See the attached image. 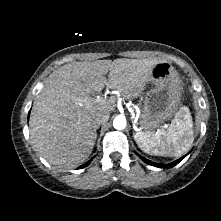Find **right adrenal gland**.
Masks as SVG:
<instances>
[{
  "label": "right adrenal gland",
  "instance_id": "1",
  "mask_svg": "<svg viewBox=\"0 0 221 221\" xmlns=\"http://www.w3.org/2000/svg\"><path fill=\"white\" fill-rule=\"evenodd\" d=\"M99 125L98 126H96L95 128H94V137H95V140H96V138H97V130L99 129Z\"/></svg>",
  "mask_w": 221,
  "mask_h": 221
}]
</instances>
